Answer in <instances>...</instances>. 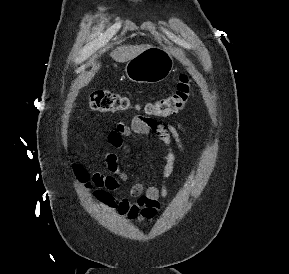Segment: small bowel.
I'll return each instance as SVG.
<instances>
[{
    "instance_id": "1",
    "label": "small bowel",
    "mask_w": 289,
    "mask_h": 274,
    "mask_svg": "<svg viewBox=\"0 0 289 274\" xmlns=\"http://www.w3.org/2000/svg\"><path fill=\"white\" fill-rule=\"evenodd\" d=\"M186 129L182 124L175 126L169 125L155 119L137 115L130 123L121 121L114 130L107 135L108 143L117 149H122L126 153H131L130 146L126 143V138H132L138 135H154L166 147L165 163L162 169L161 180L158 184L145 186L137 182L126 190V195L118 203V213L136 223L152 220L161 207L160 199L168 196L166 180L171 176L174 170L176 156L173 151V145L182 153L184 146L180 134L185 133ZM105 163L108 174L95 172L92 176V182L95 186L107 191H117L121 183L129 178L120 168L118 156L113 152L104 153Z\"/></svg>"
}]
</instances>
